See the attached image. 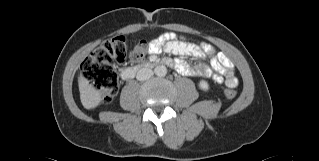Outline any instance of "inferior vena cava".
Instances as JSON below:
<instances>
[{
	"label": "inferior vena cava",
	"instance_id": "inferior-vena-cava-1",
	"mask_svg": "<svg viewBox=\"0 0 319 161\" xmlns=\"http://www.w3.org/2000/svg\"><path fill=\"white\" fill-rule=\"evenodd\" d=\"M153 75V71L149 68H142L137 72L136 79L144 81L149 79Z\"/></svg>",
	"mask_w": 319,
	"mask_h": 161
}]
</instances>
